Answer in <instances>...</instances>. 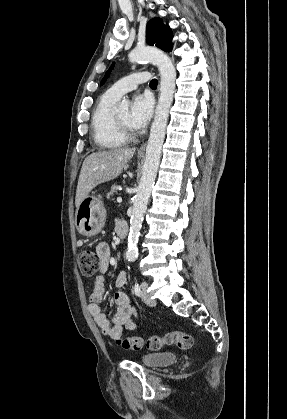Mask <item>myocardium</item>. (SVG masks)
Segmentation results:
<instances>
[{"label": "myocardium", "instance_id": "obj_1", "mask_svg": "<svg viewBox=\"0 0 287 419\" xmlns=\"http://www.w3.org/2000/svg\"><path fill=\"white\" fill-rule=\"evenodd\" d=\"M113 123L117 133L123 140L127 141L134 138V133L119 121L116 113H113Z\"/></svg>", "mask_w": 287, "mask_h": 419}]
</instances>
